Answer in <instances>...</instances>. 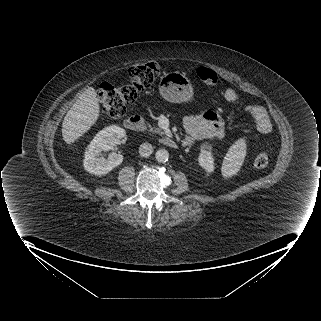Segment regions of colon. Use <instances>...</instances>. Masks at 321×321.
<instances>
[{"mask_svg":"<svg viewBox=\"0 0 321 321\" xmlns=\"http://www.w3.org/2000/svg\"><path fill=\"white\" fill-rule=\"evenodd\" d=\"M198 78L208 86H215L219 82L217 73L207 67L197 68ZM160 74V68L155 62H147L132 66L127 73L128 84L113 86L104 84L98 90V99L103 112L111 118H120L125 113L127 104L132 103L138 95L150 88ZM270 161L267 150L261 151L254 159L256 168H264Z\"/></svg>","mask_w":321,"mask_h":321,"instance_id":"obj_1","label":"colon"}]
</instances>
